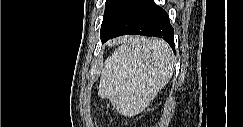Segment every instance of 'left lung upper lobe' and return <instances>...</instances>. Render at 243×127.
<instances>
[{"mask_svg":"<svg viewBox=\"0 0 243 127\" xmlns=\"http://www.w3.org/2000/svg\"><path fill=\"white\" fill-rule=\"evenodd\" d=\"M121 1L122 0H106V8L101 28L106 26L107 16L119 5Z\"/></svg>","mask_w":243,"mask_h":127,"instance_id":"left-lung-upper-lobe-1","label":"left lung upper lobe"}]
</instances>
